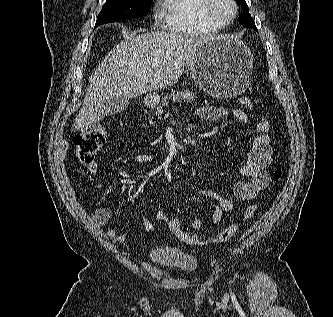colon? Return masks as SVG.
Wrapping results in <instances>:
<instances>
[{
    "instance_id": "colon-1",
    "label": "colon",
    "mask_w": 333,
    "mask_h": 317,
    "mask_svg": "<svg viewBox=\"0 0 333 317\" xmlns=\"http://www.w3.org/2000/svg\"><path fill=\"white\" fill-rule=\"evenodd\" d=\"M239 103L247 109H251L253 107V101L247 96L240 97ZM104 143L105 133L101 129H91L73 138L74 152L77 158L85 165H90L95 161V156L98 151L103 147ZM281 176L282 171L280 169H276L272 174L273 181H279ZM257 210L258 204H250L244 211V214L240 221L227 226L215 237L206 241L202 240L197 235L185 231L182 228L179 220L174 216L170 215V218L166 223L168 227L178 236V238L185 243L192 245H200L209 242L223 243L236 235L242 224L251 219L257 212Z\"/></svg>"
}]
</instances>
